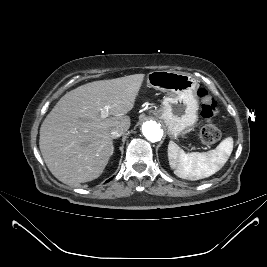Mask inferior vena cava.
<instances>
[{
  "label": "inferior vena cava",
  "instance_id": "inferior-vena-cava-1",
  "mask_svg": "<svg viewBox=\"0 0 267 267\" xmlns=\"http://www.w3.org/2000/svg\"><path fill=\"white\" fill-rule=\"evenodd\" d=\"M124 133V128L122 126H117L111 129L110 136L111 138H118Z\"/></svg>",
  "mask_w": 267,
  "mask_h": 267
}]
</instances>
